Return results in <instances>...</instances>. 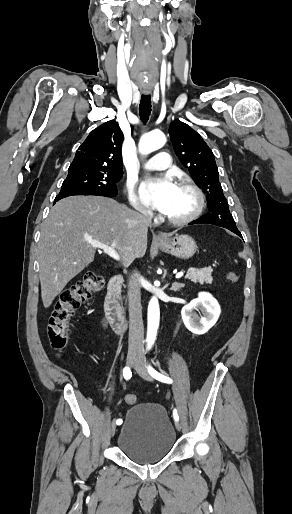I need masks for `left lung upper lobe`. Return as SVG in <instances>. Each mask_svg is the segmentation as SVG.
I'll return each instance as SVG.
<instances>
[{"mask_svg": "<svg viewBox=\"0 0 292 514\" xmlns=\"http://www.w3.org/2000/svg\"><path fill=\"white\" fill-rule=\"evenodd\" d=\"M169 134L179 160L206 194L209 213L199 219L203 223L239 231L219 182L214 154L206 142L189 125L178 120L170 124Z\"/></svg>", "mask_w": 292, "mask_h": 514, "instance_id": "1", "label": "left lung upper lobe"}]
</instances>
